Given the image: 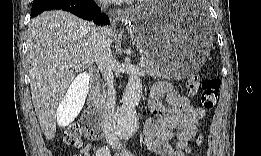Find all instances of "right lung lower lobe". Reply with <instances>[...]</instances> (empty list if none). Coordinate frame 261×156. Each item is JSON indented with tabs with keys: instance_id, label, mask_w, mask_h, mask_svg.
<instances>
[{
	"instance_id": "obj_1",
	"label": "right lung lower lobe",
	"mask_w": 261,
	"mask_h": 156,
	"mask_svg": "<svg viewBox=\"0 0 261 156\" xmlns=\"http://www.w3.org/2000/svg\"><path fill=\"white\" fill-rule=\"evenodd\" d=\"M61 9L83 19L100 24H109L107 16L100 14V8L93 0H48L32 4L31 15L36 16L45 10Z\"/></svg>"
}]
</instances>
